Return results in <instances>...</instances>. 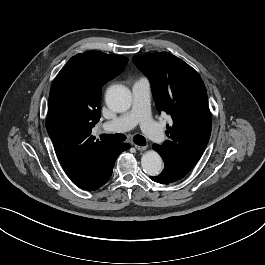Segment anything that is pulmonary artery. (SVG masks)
Returning <instances> with one entry per match:
<instances>
[{"mask_svg":"<svg viewBox=\"0 0 265 265\" xmlns=\"http://www.w3.org/2000/svg\"><path fill=\"white\" fill-rule=\"evenodd\" d=\"M149 105L150 82L146 78H140L132 84L131 109L112 121L104 122L101 127L103 130L124 132L139 124L149 138L161 143L165 134L162 128L152 120Z\"/></svg>","mask_w":265,"mask_h":265,"instance_id":"obj_1","label":"pulmonary artery"}]
</instances>
